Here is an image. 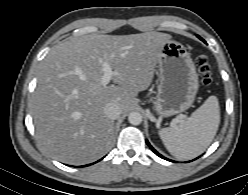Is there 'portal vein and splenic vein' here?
Masks as SVG:
<instances>
[{"label": "portal vein and splenic vein", "mask_w": 248, "mask_h": 195, "mask_svg": "<svg viewBox=\"0 0 248 195\" xmlns=\"http://www.w3.org/2000/svg\"><path fill=\"white\" fill-rule=\"evenodd\" d=\"M103 76L101 78L102 85L109 84L113 76L119 75V72L113 71L107 61L103 62Z\"/></svg>", "instance_id": "obj_1"}]
</instances>
